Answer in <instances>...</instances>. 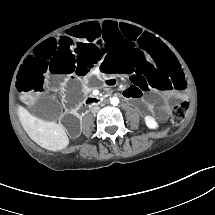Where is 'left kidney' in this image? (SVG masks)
Returning a JSON list of instances; mask_svg holds the SVG:
<instances>
[{
    "instance_id": "left-kidney-1",
    "label": "left kidney",
    "mask_w": 215,
    "mask_h": 215,
    "mask_svg": "<svg viewBox=\"0 0 215 215\" xmlns=\"http://www.w3.org/2000/svg\"><path fill=\"white\" fill-rule=\"evenodd\" d=\"M146 121H147V125L150 128H155L157 126L156 123L154 122V120L152 118H147Z\"/></svg>"
}]
</instances>
